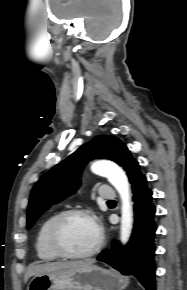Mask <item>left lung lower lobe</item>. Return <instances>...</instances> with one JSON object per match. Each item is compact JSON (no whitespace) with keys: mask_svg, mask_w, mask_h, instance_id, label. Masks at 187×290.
I'll use <instances>...</instances> for the list:
<instances>
[{"mask_svg":"<svg viewBox=\"0 0 187 290\" xmlns=\"http://www.w3.org/2000/svg\"><path fill=\"white\" fill-rule=\"evenodd\" d=\"M135 222L127 246L113 242L112 250H104L98 259L108 263L124 275L135 276L146 290H155V232L157 229L152 203V191L147 179L139 176L132 184Z\"/></svg>","mask_w":187,"mask_h":290,"instance_id":"obj_1","label":"left lung lower lobe"}]
</instances>
